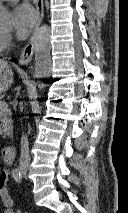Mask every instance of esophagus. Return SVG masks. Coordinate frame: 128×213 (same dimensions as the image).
<instances>
[{"label": "esophagus", "mask_w": 128, "mask_h": 213, "mask_svg": "<svg viewBox=\"0 0 128 213\" xmlns=\"http://www.w3.org/2000/svg\"><path fill=\"white\" fill-rule=\"evenodd\" d=\"M36 1V9H37V22L35 25V28L33 30V33L29 39V41L27 42V44L25 45V47L23 48L20 58H19V64L20 65H27L33 57V53H34V40H35V32L36 30L39 28V26L41 25L42 21H43V17H44V0H35Z\"/></svg>", "instance_id": "34e87169"}]
</instances>
